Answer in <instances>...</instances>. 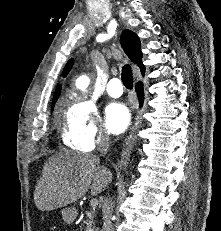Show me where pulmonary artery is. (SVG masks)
Returning a JSON list of instances; mask_svg holds the SVG:
<instances>
[{
  "mask_svg": "<svg viewBox=\"0 0 221 231\" xmlns=\"http://www.w3.org/2000/svg\"><path fill=\"white\" fill-rule=\"evenodd\" d=\"M107 93L113 97L118 98L123 94L122 82L118 78L111 79L107 84Z\"/></svg>",
  "mask_w": 221,
  "mask_h": 231,
  "instance_id": "obj_1",
  "label": "pulmonary artery"
}]
</instances>
